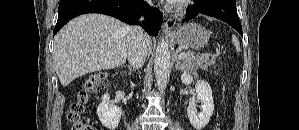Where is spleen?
I'll list each match as a JSON object with an SVG mask.
<instances>
[{
    "label": "spleen",
    "instance_id": "spleen-1",
    "mask_svg": "<svg viewBox=\"0 0 299 130\" xmlns=\"http://www.w3.org/2000/svg\"><path fill=\"white\" fill-rule=\"evenodd\" d=\"M232 42L236 48V51L239 53L241 51L238 38L235 35H232Z\"/></svg>",
    "mask_w": 299,
    "mask_h": 130
}]
</instances>
